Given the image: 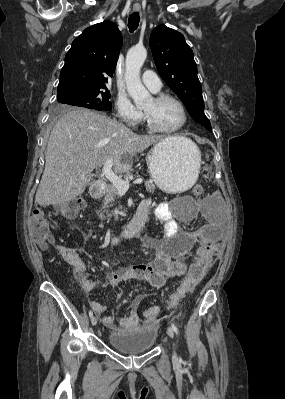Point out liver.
Returning a JSON list of instances; mask_svg holds the SVG:
<instances>
[{
	"instance_id": "obj_1",
	"label": "liver",
	"mask_w": 285,
	"mask_h": 399,
	"mask_svg": "<svg viewBox=\"0 0 285 399\" xmlns=\"http://www.w3.org/2000/svg\"><path fill=\"white\" fill-rule=\"evenodd\" d=\"M172 138L138 135L117 120L87 109L69 111L51 131L35 202L41 206L68 202L83 194L91 172L106 161L113 160L116 173H126L134 155Z\"/></svg>"
}]
</instances>
